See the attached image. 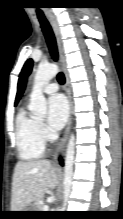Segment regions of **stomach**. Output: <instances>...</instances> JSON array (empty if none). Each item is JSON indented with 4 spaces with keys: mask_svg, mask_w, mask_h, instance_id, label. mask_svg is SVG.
I'll return each mask as SVG.
<instances>
[{
    "mask_svg": "<svg viewBox=\"0 0 123 219\" xmlns=\"http://www.w3.org/2000/svg\"><path fill=\"white\" fill-rule=\"evenodd\" d=\"M23 211H35L34 204L28 205L27 208ZM30 215H31V212H25L22 214V216H25V217L30 216Z\"/></svg>",
    "mask_w": 123,
    "mask_h": 219,
    "instance_id": "1",
    "label": "stomach"
}]
</instances>
